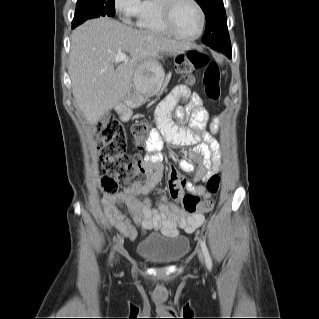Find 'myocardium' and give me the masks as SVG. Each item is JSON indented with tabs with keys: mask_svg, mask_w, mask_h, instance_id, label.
<instances>
[{
	"mask_svg": "<svg viewBox=\"0 0 319 319\" xmlns=\"http://www.w3.org/2000/svg\"><path fill=\"white\" fill-rule=\"evenodd\" d=\"M160 11L162 22L169 34L174 36L177 39L183 41H195L197 40L203 33L204 25H205V13L201 5L197 2V0H185L194 5L198 14H199V29L198 32L194 36H183L180 35L174 28L173 25V13L177 5L183 0H160Z\"/></svg>",
	"mask_w": 319,
	"mask_h": 319,
	"instance_id": "obj_1",
	"label": "myocardium"
}]
</instances>
